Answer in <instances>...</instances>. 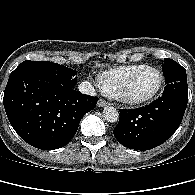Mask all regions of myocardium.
I'll return each mask as SVG.
<instances>
[{"label": "myocardium", "mask_w": 195, "mask_h": 195, "mask_svg": "<svg viewBox=\"0 0 195 195\" xmlns=\"http://www.w3.org/2000/svg\"><path fill=\"white\" fill-rule=\"evenodd\" d=\"M146 70H153L159 74V84H158L157 88L151 94L144 96V97H133L130 94L131 86H132L133 82L135 81V79L142 72H144ZM163 86H164V75H163L162 71L157 67L145 65V66L141 67L140 69H138L137 71H135L127 79L120 94L118 96H116L115 98H117L121 102L128 104V105H142V104H146V103L152 101L154 98H156L160 94V92L162 91Z\"/></svg>", "instance_id": "obj_1"}]
</instances>
